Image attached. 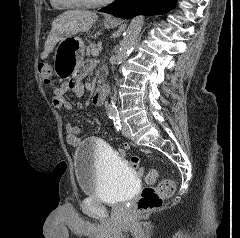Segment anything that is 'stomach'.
<instances>
[{
    "instance_id": "0dacf381",
    "label": "stomach",
    "mask_w": 240,
    "mask_h": 238,
    "mask_svg": "<svg viewBox=\"0 0 240 238\" xmlns=\"http://www.w3.org/2000/svg\"><path fill=\"white\" fill-rule=\"evenodd\" d=\"M117 23H105L106 28H114ZM85 52L81 38L76 36L63 37L54 55V72L62 79H69L80 66Z\"/></svg>"
}]
</instances>
